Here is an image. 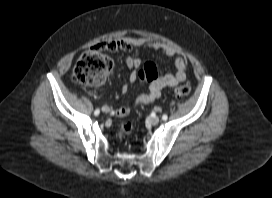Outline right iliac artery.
Here are the masks:
<instances>
[{
	"instance_id": "obj_1",
	"label": "right iliac artery",
	"mask_w": 272,
	"mask_h": 198,
	"mask_svg": "<svg viewBox=\"0 0 272 198\" xmlns=\"http://www.w3.org/2000/svg\"><path fill=\"white\" fill-rule=\"evenodd\" d=\"M99 113H100V110H99V109H96L95 112H94V114H95L96 116L99 115Z\"/></svg>"
}]
</instances>
